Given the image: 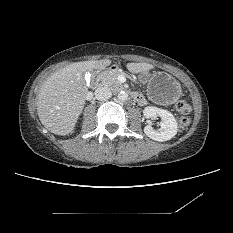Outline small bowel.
<instances>
[{
	"mask_svg": "<svg viewBox=\"0 0 233 233\" xmlns=\"http://www.w3.org/2000/svg\"><path fill=\"white\" fill-rule=\"evenodd\" d=\"M136 95H137L136 100L138 101V103L141 104V105L144 104L143 97L141 95H139V94H136Z\"/></svg>",
	"mask_w": 233,
	"mask_h": 233,
	"instance_id": "small-bowel-1",
	"label": "small bowel"
}]
</instances>
